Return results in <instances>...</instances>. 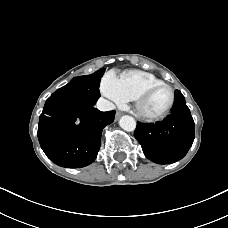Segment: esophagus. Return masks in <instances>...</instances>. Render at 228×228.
I'll list each match as a JSON object with an SVG mask.
<instances>
[{
  "label": "esophagus",
  "mask_w": 228,
  "mask_h": 228,
  "mask_svg": "<svg viewBox=\"0 0 228 228\" xmlns=\"http://www.w3.org/2000/svg\"><path fill=\"white\" fill-rule=\"evenodd\" d=\"M121 115H122L121 112H116V115H115L116 119H118Z\"/></svg>",
  "instance_id": "1"
}]
</instances>
